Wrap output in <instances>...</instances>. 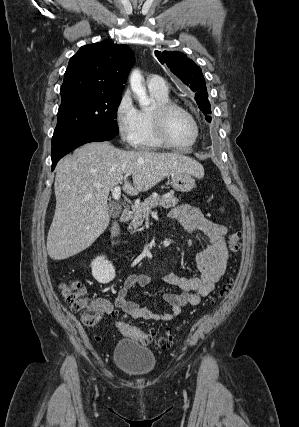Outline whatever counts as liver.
Masks as SVG:
<instances>
[{
    "instance_id": "obj_1",
    "label": "liver",
    "mask_w": 299,
    "mask_h": 427,
    "mask_svg": "<svg viewBox=\"0 0 299 427\" xmlns=\"http://www.w3.org/2000/svg\"><path fill=\"white\" fill-rule=\"evenodd\" d=\"M174 173L204 176L200 163L180 153L125 151L109 142H92L66 156L56 167V209L47 236L48 255L63 260L87 249L105 231L107 200L118 184L137 195ZM132 175V183L128 176Z\"/></svg>"
}]
</instances>
